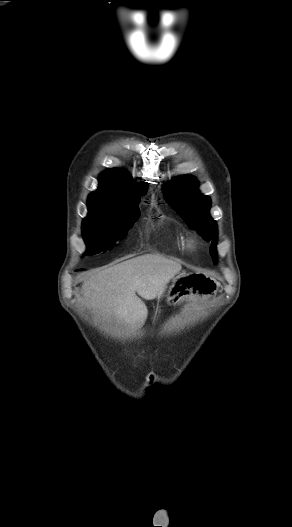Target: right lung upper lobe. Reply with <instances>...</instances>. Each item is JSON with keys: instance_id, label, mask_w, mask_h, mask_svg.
Returning <instances> with one entry per match:
<instances>
[{"instance_id": "right-lung-upper-lobe-1", "label": "right lung upper lobe", "mask_w": 292, "mask_h": 527, "mask_svg": "<svg viewBox=\"0 0 292 527\" xmlns=\"http://www.w3.org/2000/svg\"><path fill=\"white\" fill-rule=\"evenodd\" d=\"M100 185L98 191L91 193L89 198L126 206L137 205L140 202L138 195H144L147 190L145 187L136 188L128 173L119 169L103 172Z\"/></svg>"}]
</instances>
